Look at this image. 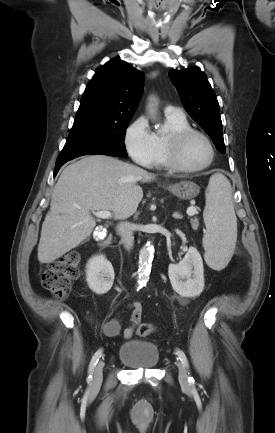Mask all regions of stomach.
Instances as JSON below:
<instances>
[{"mask_svg": "<svg viewBox=\"0 0 275 433\" xmlns=\"http://www.w3.org/2000/svg\"><path fill=\"white\" fill-rule=\"evenodd\" d=\"M168 189L173 195L182 200L193 199L200 192V187L191 181H182L170 186Z\"/></svg>", "mask_w": 275, "mask_h": 433, "instance_id": "stomach-1", "label": "stomach"}]
</instances>
